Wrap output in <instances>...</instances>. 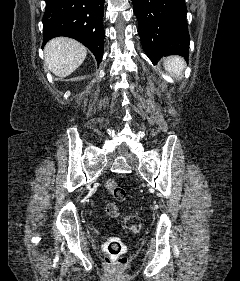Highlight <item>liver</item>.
Listing matches in <instances>:
<instances>
[{"label": "liver", "mask_w": 240, "mask_h": 281, "mask_svg": "<svg viewBox=\"0 0 240 281\" xmlns=\"http://www.w3.org/2000/svg\"><path fill=\"white\" fill-rule=\"evenodd\" d=\"M44 54L47 68L57 76L67 77L83 63L87 49L74 39L58 37L46 44Z\"/></svg>", "instance_id": "obj_1"}]
</instances>
